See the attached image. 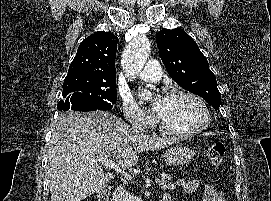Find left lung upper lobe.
<instances>
[{"mask_svg": "<svg viewBox=\"0 0 271 201\" xmlns=\"http://www.w3.org/2000/svg\"><path fill=\"white\" fill-rule=\"evenodd\" d=\"M156 41L170 77L218 110L221 94L217 81L196 42L181 28L161 30L156 34Z\"/></svg>", "mask_w": 271, "mask_h": 201, "instance_id": "obj_1", "label": "left lung upper lobe"}]
</instances>
